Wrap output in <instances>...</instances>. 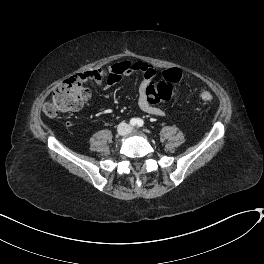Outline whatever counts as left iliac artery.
Instances as JSON below:
<instances>
[{
    "mask_svg": "<svg viewBox=\"0 0 264 264\" xmlns=\"http://www.w3.org/2000/svg\"><path fill=\"white\" fill-rule=\"evenodd\" d=\"M144 125V121L142 119L137 120V126L142 127Z\"/></svg>",
    "mask_w": 264,
    "mask_h": 264,
    "instance_id": "1",
    "label": "left iliac artery"
}]
</instances>
